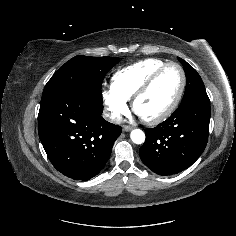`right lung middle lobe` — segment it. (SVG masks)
Wrapping results in <instances>:
<instances>
[{
	"label": "right lung middle lobe",
	"instance_id": "dd1d6c3e",
	"mask_svg": "<svg viewBox=\"0 0 236 236\" xmlns=\"http://www.w3.org/2000/svg\"><path fill=\"white\" fill-rule=\"evenodd\" d=\"M119 61L115 57L78 55L61 66L46 84L42 99L61 91L81 92L102 104L101 85L106 73Z\"/></svg>",
	"mask_w": 236,
	"mask_h": 236
}]
</instances>
